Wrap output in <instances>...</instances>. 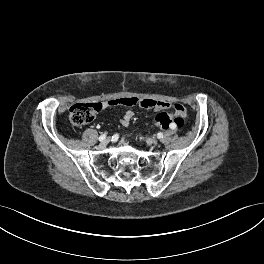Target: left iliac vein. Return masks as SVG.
Here are the masks:
<instances>
[{
	"label": "left iliac vein",
	"instance_id": "4c4485c4",
	"mask_svg": "<svg viewBox=\"0 0 264 264\" xmlns=\"http://www.w3.org/2000/svg\"><path fill=\"white\" fill-rule=\"evenodd\" d=\"M151 143L156 144L157 141L155 139H150Z\"/></svg>",
	"mask_w": 264,
	"mask_h": 264
}]
</instances>
